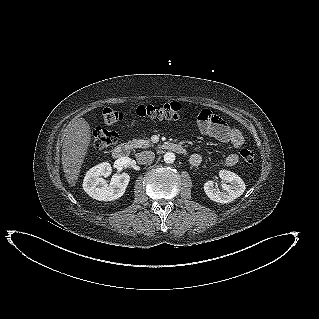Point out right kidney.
<instances>
[{"label": "right kidney", "mask_w": 319, "mask_h": 319, "mask_svg": "<svg viewBox=\"0 0 319 319\" xmlns=\"http://www.w3.org/2000/svg\"><path fill=\"white\" fill-rule=\"evenodd\" d=\"M112 167L110 163L103 162L90 168L83 180L84 191L93 199L99 201H113L124 195L130 176L127 173H121L112 178L110 184L106 182L105 177L110 176Z\"/></svg>", "instance_id": "ca27d5eb"}]
</instances>
